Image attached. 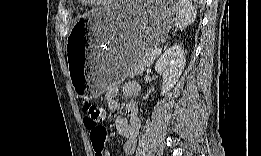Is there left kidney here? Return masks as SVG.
<instances>
[{
	"instance_id": "obj_1",
	"label": "left kidney",
	"mask_w": 261,
	"mask_h": 156,
	"mask_svg": "<svg viewBox=\"0 0 261 156\" xmlns=\"http://www.w3.org/2000/svg\"><path fill=\"white\" fill-rule=\"evenodd\" d=\"M185 67L184 50L174 45L165 51L155 64V70L162 75L161 95L164 96L176 84Z\"/></svg>"
}]
</instances>
